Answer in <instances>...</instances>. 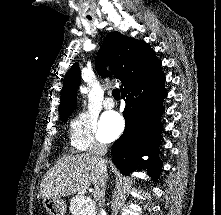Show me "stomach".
I'll return each instance as SVG.
<instances>
[{"label": "stomach", "mask_w": 221, "mask_h": 215, "mask_svg": "<svg viewBox=\"0 0 221 215\" xmlns=\"http://www.w3.org/2000/svg\"><path fill=\"white\" fill-rule=\"evenodd\" d=\"M43 205L50 215H65L67 211L66 202L60 197H49L43 200Z\"/></svg>", "instance_id": "1"}]
</instances>
